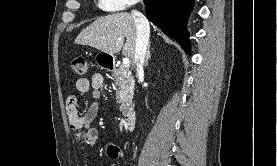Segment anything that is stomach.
I'll use <instances>...</instances> for the list:
<instances>
[{
    "instance_id": "0dacf381",
    "label": "stomach",
    "mask_w": 277,
    "mask_h": 166,
    "mask_svg": "<svg viewBox=\"0 0 277 166\" xmlns=\"http://www.w3.org/2000/svg\"><path fill=\"white\" fill-rule=\"evenodd\" d=\"M96 63L101 68H110L113 63V56L105 52H99L95 57Z\"/></svg>"
}]
</instances>
